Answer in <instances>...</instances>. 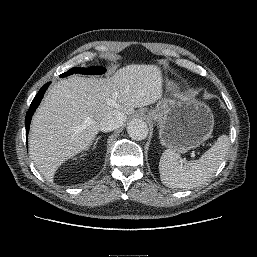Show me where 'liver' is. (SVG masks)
Instances as JSON below:
<instances>
[{"label":"liver","mask_w":257,"mask_h":257,"mask_svg":"<svg viewBox=\"0 0 257 257\" xmlns=\"http://www.w3.org/2000/svg\"><path fill=\"white\" fill-rule=\"evenodd\" d=\"M162 76L156 65H127L110 78L71 76L47 92L31 123L29 150L40 173L53 180L57 168L86 150L107 114L126 115L160 99Z\"/></svg>","instance_id":"6515ba94"}]
</instances>
